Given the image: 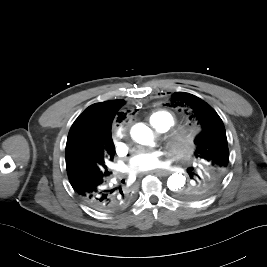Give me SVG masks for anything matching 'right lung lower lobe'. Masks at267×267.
I'll return each instance as SVG.
<instances>
[{
  "label": "right lung lower lobe",
  "instance_id": "1",
  "mask_svg": "<svg viewBox=\"0 0 267 267\" xmlns=\"http://www.w3.org/2000/svg\"><path fill=\"white\" fill-rule=\"evenodd\" d=\"M109 176H83L70 183L91 208L107 213L118 212L125 209L134 196L131 189L111 186Z\"/></svg>",
  "mask_w": 267,
  "mask_h": 267
}]
</instances>
